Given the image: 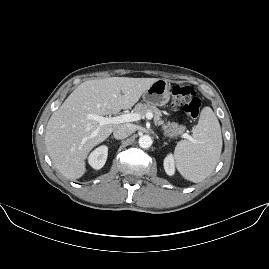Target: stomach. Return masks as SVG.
I'll list each match as a JSON object with an SVG mask.
<instances>
[{"label":"stomach","instance_id":"0dacf381","mask_svg":"<svg viewBox=\"0 0 269 269\" xmlns=\"http://www.w3.org/2000/svg\"><path fill=\"white\" fill-rule=\"evenodd\" d=\"M170 86L164 79H159L145 91L143 99L149 105L163 106L167 104L171 97Z\"/></svg>","mask_w":269,"mask_h":269}]
</instances>
